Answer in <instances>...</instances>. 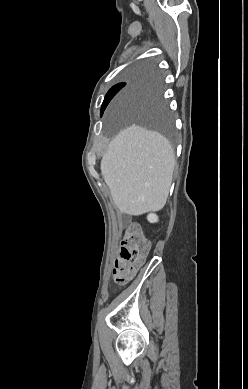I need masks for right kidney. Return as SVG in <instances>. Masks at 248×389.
<instances>
[{"instance_id": "right-kidney-1", "label": "right kidney", "mask_w": 248, "mask_h": 389, "mask_svg": "<svg viewBox=\"0 0 248 389\" xmlns=\"http://www.w3.org/2000/svg\"><path fill=\"white\" fill-rule=\"evenodd\" d=\"M147 220L150 222V223H156L158 222V216L156 214H149L147 216Z\"/></svg>"}]
</instances>
